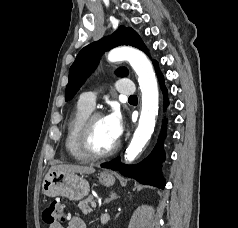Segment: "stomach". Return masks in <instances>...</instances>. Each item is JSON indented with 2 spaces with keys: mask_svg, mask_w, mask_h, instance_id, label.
Masks as SVG:
<instances>
[{
  "mask_svg": "<svg viewBox=\"0 0 238 228\" xmlns=\"http://www.w3.org/2000/svg\"><path fill=\"white\" fill-rule=\"evenodd\" d=\"M99 182L109 187L115 183V177L112 173L104 171L99 175ZM89 191L88 181L75 173L49 171L42 183V193L49 197L64 196L77 201L87 196Z\"/></svg>",
  "mask_w": 238,
  "mask_h": 228,
  "instance_id": "0dacf381",
  "label": "stomach"
}]
</instances>
